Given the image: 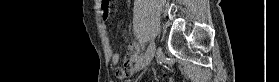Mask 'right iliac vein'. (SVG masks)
Here are the masks:
<instances>
[{
  "label": "right iliac vein",
  "instance_id": "right-iliac-vein-1",
  "mask_svg": "<svg viewBox=\"0 0 279 82\" xmlns=\"http://www.w3.org/2000/svg\"><path fill=\"white\" fill-rule=\"evenodd\" d=\"M155 52V43L154 41H151L146 53L144 56L140 59V61L137 62L135 65V71H140L141 69L145 68L152 60Z\"/></svg>",
  "mask_w": 279,
  "mask_h": 82
}]
</instances>
